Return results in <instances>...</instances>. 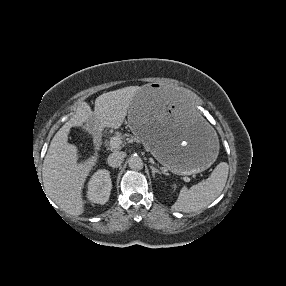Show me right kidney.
Listing matches in <instances>:
<instances>
[{
  "label": "right kidney",
  "mask_w": 286,
  "mask_h": 286,
  "mask_svg": "<svg viewBox=\"0 0 286 286\" xmlns=\"http://www.w3.org/2000/svg\"><path fill=\"white\" fill-rule=\"evenodd\" d=\"M112 181L108 170H98L93 174L89 183L87 197L97 204H105L109 200Z\"/></svg>",
  "instance_id": "right-kidney-1"
}]
</instances>
